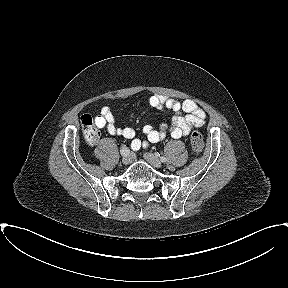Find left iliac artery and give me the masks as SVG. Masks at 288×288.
<instances>
[{
    "label": "left iliac artery",
    "mask_w": 288,
    "mask_h": 288,
    "mask_svg": "<svg viewBox=\"0 0 288 288\" xmlns=\"http://www.w3.org/2000/svg\"><path fill=\"white\" fill-rule=\"evenodd\" d=\"M161 161H162V162H165V161H166V158H165L164 156H162V157H161Z\"/></svg>",
    "instance_id": "44dca946"
}]
</instances>
